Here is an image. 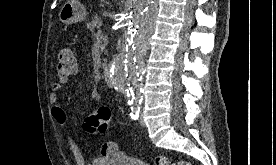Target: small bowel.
<instances>
[{"label": "small bowel", "instance_id": "1", "mask_svg": "<svg viewBox=\"0 0 276 165\" xmlns=\"http://www.w3.org/2000/svg\"><path fill=\"white\" fill-rule=\"evenodd\" d=\"M68 83V78H60L58 82L52 83L50 86L52 116L57 124H59L65 130L67 141L74 154L77 165H109L113 158L112 154L115 150V146L112 150L104 152L102 151L99 156L90 159L83 153L72 134L68 131L66 126L67 115L59 99V92H61L63 88L68 85Z\"/></svg>", "mask_w": 276, "mask_h": 165}]
</instances>
